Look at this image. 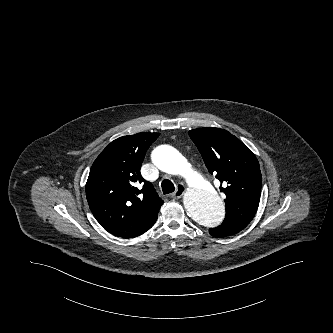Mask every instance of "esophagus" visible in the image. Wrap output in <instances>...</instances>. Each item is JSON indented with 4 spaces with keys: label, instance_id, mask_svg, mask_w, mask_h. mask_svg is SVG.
Returning a JSON list of instances; mask_svg holds the SVG:
<instances>
[{
    "label": "esophagus",
    "instance_id": "obj_1",
    "mask_svg": "<svg viewBox=\"0 0 333 333\" xmlns=\"http://www.w3.org/2000/svg\"><path fill=\"white\" fill-rule=\"evenodd\" d=\"M185 191H186V187L183 184H178L176 187V191L174 193H172L171 198L179 199L183 196Z\"/></svg>",
    "mask_w": 333,
    "mask_h": 333
}]
</instances>
